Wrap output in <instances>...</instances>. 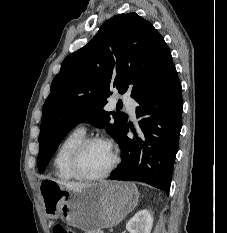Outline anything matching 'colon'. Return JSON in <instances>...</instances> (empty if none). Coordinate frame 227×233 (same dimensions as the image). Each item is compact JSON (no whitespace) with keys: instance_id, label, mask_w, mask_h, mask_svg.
<instances>
[{"instance_id":"colon-1","label":"colon","mask_w":227,"mask_h":233,"mask_svg":"<svg viewBox=\"0 0 227 233\" xmlns=\"http://www.w3.org/2000/svg\"><path fill=\"white\" fill-rule=\"evenodd\" d=\"M53 233H75V232L72 231L71 229L64 227V226L57 225L54 227Z\"/></svg>"}]
</instances>
